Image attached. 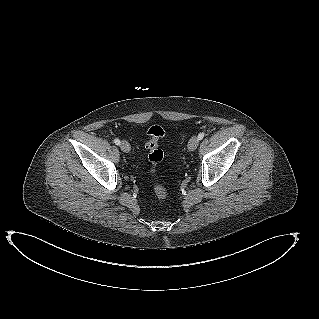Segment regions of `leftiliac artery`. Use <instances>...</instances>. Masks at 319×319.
I'll list each match as a JSON object with an SVG mask.
<instances>
[{"instance_id": "left-iliac-artery-1", "label": "left iliac artery", "mask_w": 319, "mask_h": 319, "mask_svg": "<svg viewBox=\"0 0 319 319\" xmlns=\"http://www.w3.org/2000/svg\"><path fill=\"white\" fill-rule=\"evenodd\" d=\"M204 136H205V133H204V132H201V133L198 135V139L201 140V139H203Z\"/></svg>"}]
</instances>
